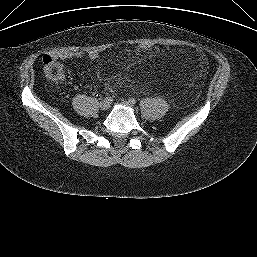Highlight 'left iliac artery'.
I'll use <instances>...</instances> for the list:
<instances>
[{
  "label": "left iliac artery",
  "mask_w": 257,
  "mask_h": 257,
  "mask_svg": "<svg viewBox=\"0 0 257 257\" xmlns=\"http://www.w3.org/2000/svg\"><path fill=\"white\" fill-rule=\"evenodd\" d=\"M128 100H129V102H130L131 104H135V103H136L135 98H132V97H131V98H129Z\"/></svg>",
  "instance_id": "obj_1"
}]
</instances>
